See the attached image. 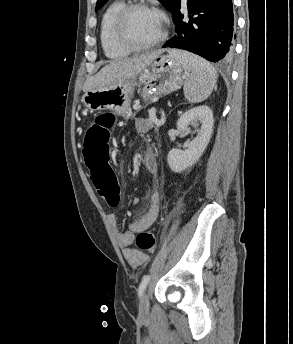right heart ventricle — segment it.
Here are the masks:
<instances>
[{
	"label": "right heart ventricle",
	"mask_w": 293,
	"mask_h": 344,
	"mask_svg": "<svg viewBox=\"0 0 293 344\" xmlns=\"http://www.w3.org/2000/svg\"><path fill=\"white\" fill-rule=\"evenodd\" d=\"M124 0H113L104 10L99 29V37L105 56L112 60L128 57L131 51L121 46L114 37L113 26L118 12L125 6Z\"/></svg>",
	"instance_id": "obj_1"
}]
</instances>
